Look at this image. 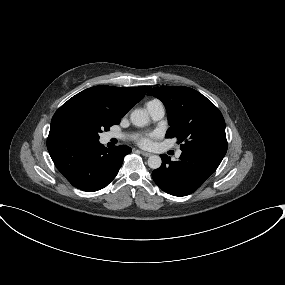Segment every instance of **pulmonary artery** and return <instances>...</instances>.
Returning <instances> with one entry per match:
<instances>
[{
	"mask_svg": "<svg viewBox=\"0 0 285 285\" xmlns=\"http://www.w3.org/2000/svg\"><path fill=\"white\" fill-rule=\"evenodd\" d=\"M146 109H147L151 119L155 122L162 120L165 116V108H164L163 104L159 101L148 102L146 105ZM109 137L110 138H119L121 136L112 133L109 135ZM176 155L180 156L181 151H177Z\"/></svg>",
	"mask_w": 285,
	"mask_h": 285,
	"instance_id": "obj_1",
	"label": "pulmonary artery"
}]
</instances>
